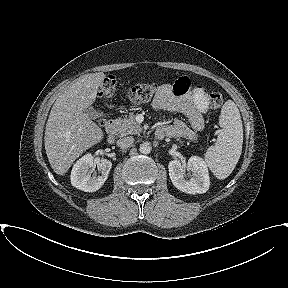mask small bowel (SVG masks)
<instances>
[{
	"mask_svg": "<svg viewBox=\"0 0 288 288\" xmlns=\"http://www.w3.org/2000/svg\"><path fill=\"white\" fill-rule=\"evenodd\" d=\"M192 87L188 77H180L173 84L160 85L152 102L155 110L175 111L187 116L191 128L176 119L172 125L159 127L165 136L196 140L205 126L204 117L209 110V97L202 86Z\"/></svg>",
	"mask_w": 288,
	"mask_h": 288,
	"instance_id": "1",
	"label": "small bowel"
}]
</instances>
